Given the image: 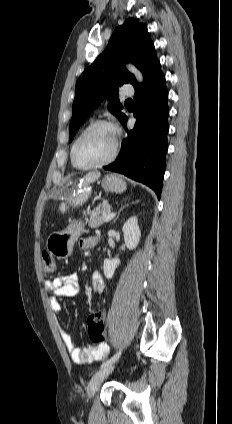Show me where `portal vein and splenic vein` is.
<instances>
[{"instance_id":"1","label":"portal vein and splenic vein","mask_w":232,"mask_h":424,"mask_svg":"<svg viewBox=\"0 0 232 424\" xmlns=\"http://www.w3.org/2000/svg\"><path fill=\"white\" fill-rule=\"evenodd\" d=\"M116 213L112 212L105 216V221H109L115 217Z\"/></svg>"}]
</instances>
